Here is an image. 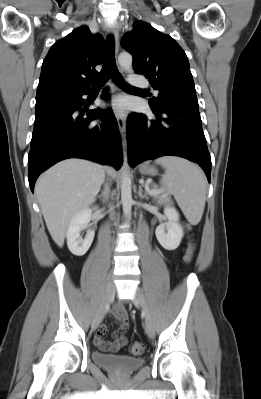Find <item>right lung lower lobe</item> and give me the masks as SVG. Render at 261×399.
<instances>
[{"mask_svg":"<svg viewBox=\"0 0 261 399\" xmlns=\"http://www.w3.org/2000/svg\"><path fill=\"white\" fill-rule=\"evenodd\" d=\"M77 93L36 107L31 149L28 155L29 185L33 192L38 176L66 158H84L119 169L122 165L121 139L111 110L95 109L74 113L84 103ZM86 113V117H83ZM101 118V122H92Z\"/></svg>","mask_w":261,"mask_h":399,"instance_id":"right-lung-lower-lobe-1","label":"right lung lower lobe"}]
</instances>
